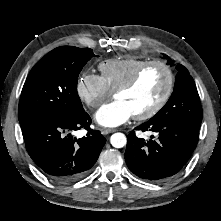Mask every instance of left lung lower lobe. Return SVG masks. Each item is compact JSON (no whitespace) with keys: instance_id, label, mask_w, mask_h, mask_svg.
<instances>
[{"instance_id":"obj_1","label":"left lung lower lobe","mask_w":221,"mask_h":221,"mask_svg":"<svg viewBox=\"0 0 221 221\" xmlns=\"http://www.w3.org/2000/svg\"><path fill=\"white\" fill-rule=\"evenodd\" d=\"M135 130L155 132L157 138L145 141L130 132L126 164L133 174L153 182L176 175L190 159L199 139V129L169 117L151 119Z\"/></svg>"}]
</instances>
